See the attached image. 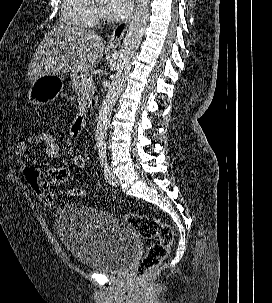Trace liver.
Here are the masks:
<instances>
[{"label": "liver", "instance_id": "1", "mask_svg": "<svg viewBox=\"0 0 272 303\" xmlns=\"http://www.w3.org/2000/svg\"><path fill=\"white\" fill-rule=\"evenodd\" d=\"M102 37L82 25H58L45 35L28 68L31 83L42 76L86 73L103 59Z\"/></svg>", "mask_w": 272, "mask_h": 303}]
</instances>
